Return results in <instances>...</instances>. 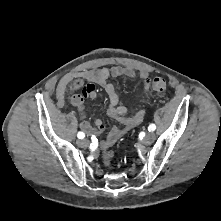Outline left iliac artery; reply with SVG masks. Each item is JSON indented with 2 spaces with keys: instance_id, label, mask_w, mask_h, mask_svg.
I'll use <instances>...</instances> for the list:
<instances>
[{
  "instance_id": "obj_1",
  "label": "left iliac artery",
  "mask_w": 221,
  "mask_h": 221,
  "mask_svg": "<svg viewBox=\"0 0 221 221\" xmlns=\"http://www.w3.org/2000/svg\"><path fill=\"white\" fill-rule=\"evenodd\" d=\"M156 129V125L155 124H150L148 127L149 131H154Z\"/></svg>"
}]
</instances>
